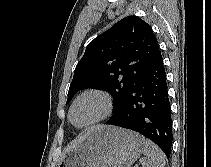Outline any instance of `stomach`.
<instances>
[{"instance_id":"1","label":"stomach","mask_w":211,"mask_h":167,"mask_svg":"<svg viewBox=\"0 0 211 167\" xmlns=\"http://www.w3.org/2000/svg\"><path fill=\"white\" fill-rule=\"evenodd\" d=\"M144 147L145 139L136 132L99 126L66 152L57 167H130Z\"/></svg>"}]
</instances>
